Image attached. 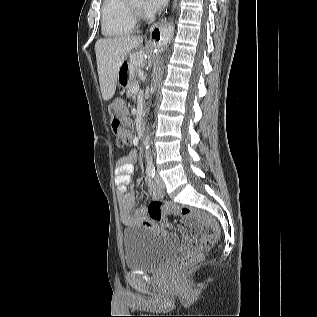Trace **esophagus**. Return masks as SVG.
Segmentation results:
<instances>
[{
  "mask_svg": "<svg viewBox=\"0 0 317 317\" xmlns=\"http://www.w3.org/2000/svg\"><path fill=\"white\" fill-rule=\"evenodd\" d=\"M165 35V22H160L154 25L150 31V39L153 40L154 44H159L164 40Z\"/></svg>",
  "mask_w": 317,
  "mask_h": 317,
  "instance_id": "obj_1",
  "label": "esophagus"
}]
</instances>
